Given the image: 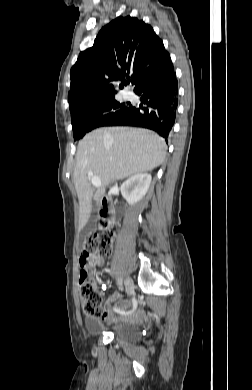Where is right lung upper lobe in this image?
I'll return each mask as SVG.
<instances>
[{"mask_svg": "<svg viewBox=\"0 0 252 390\" xmlns=\"http://www.w3.org/2000/svg\"><path fill=\"white\" fill-rule=\"evenodd\" d=\"M173 70L169 53L150 25L130 16L117 17L101 29L93 46L81 52L71 68L70 110L115 95L114 83L122 81V89L129 73L136 91L149 79Z\"/></svg>", "mask_w": 252, "mask_h": 390, "instance_id": "obj_1", "label": "right lung upper lobe"}]
</instances>
